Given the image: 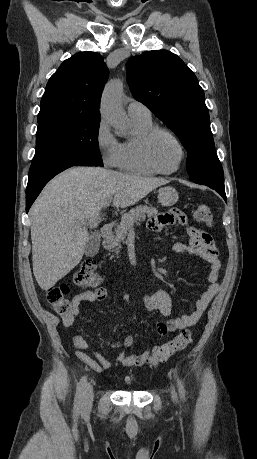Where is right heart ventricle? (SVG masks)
Masks as SVG:
<instances>
[{
  "instance_id": "1",
  "label": "right heart ventricle",
  "mask_w": 257,
  "mask_h": 459,
  "mask_svg": "<svg viewBox=\"0 0 257 459\" xmlns=\"http://www.w3.org/2000/svg\"><path fill=\"white\" fill-rule=\"evenodd\" d=\"M135 134L120 143L116 167L121 171L137 175H153L155 172L146 164L142 156V138L154 123L151 118L131 117Z\"/></svg>"
}]
</instances>
